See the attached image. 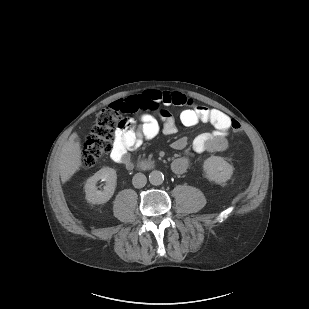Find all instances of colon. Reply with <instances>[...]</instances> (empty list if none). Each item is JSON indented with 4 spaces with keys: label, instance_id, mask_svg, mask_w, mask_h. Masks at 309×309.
Masks as SVG:
<instances>
[{
    "label": "colon",
    "instance_id": "obj_1",
    "mask_svg": "<svg viewBox=\"0 0 309 309\" xmlns=\"http://www.w3.org/2000/svg\"><path fill=\"white\" fill-rule=\"evenodd\" d=\"M129 100H121L102 109L95 118L90 135L81 147L80 165L91 168L105 155L111 152L115 140V133L132 123L129 114ZM232 129L236 134H242L238 121H232Z\"/></svg>",
    "mask_w": 309,
    "mask_h": 309
}]
</instances>
